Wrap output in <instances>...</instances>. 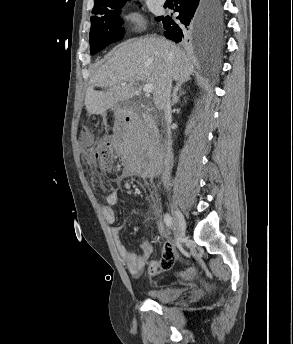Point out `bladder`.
<instances>
[{"label":"bladder","instance_id":"31cf9c89","mask_svg":"<svg viewBox=\"0 0 293 344\" xmlns=\"http://www.w3.org/2000/svg\"><path fill=\"white\" fill-rule=\"evenodd\" d=\"M147 294L154 300L161 303L176 301L182 295L181 291L172 287H161L149 290Z\"/></svg>","mask_w":293,"mask_h":344}]
</instances>
